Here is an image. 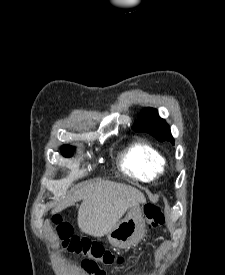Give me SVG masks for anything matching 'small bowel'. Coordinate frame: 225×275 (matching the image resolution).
I'll list each match as a JSON object with an SVG mask.
<instances>
[{
  "label": "small bowel",
  "instance_id": "obj_1",
  "mask_svg": "<svg viewBox=\"0 0 225 275\" xmlns=\"http://www.w3.org/2000/svg\"><path fill=\"white\" fill-rule=\"evenodd\" d=\"M99 275H106V273L104 271H100Z\"/></svg>",
  "mask_w": 225,
  "mask_h": 275
}]
</instances>
